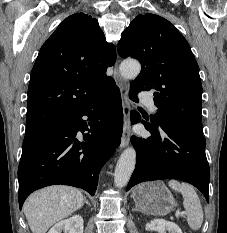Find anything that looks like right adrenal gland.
Listing matches in <instances>:
<instances>
[{"mask_svg":"<svg viewBox=\"0 0 227 233\" xmlns=\"http://www.w3.org/2000/svg\"><path fill=\"white\" fill-rule=\"evenodd\" d=\"M84 203L87 204L89 207L91 206L90 203L88 202V200H84Z\"/></svg>","mask_w":227,"mask_h":233,"instance_id":"2a0ac1e0","label":"right adrenal gland"}]
</instances>
